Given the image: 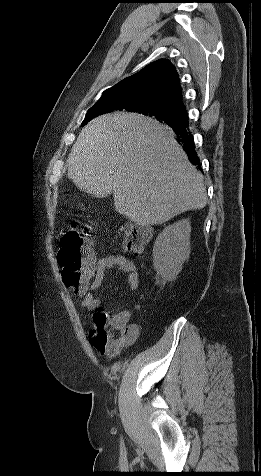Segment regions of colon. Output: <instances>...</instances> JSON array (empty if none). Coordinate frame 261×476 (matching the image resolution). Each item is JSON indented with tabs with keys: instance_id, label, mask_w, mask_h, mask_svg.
Returning a JSON list of instances; mask_svg holds the SVG:
<instances>
[{
	"instance_id": "5ec220e1",
	"label": "colon",
	"mask_w": 261,
	"mask_h": 476,
	"mask_svg": "<svg viewBox=\"0 0 261 476\" xmlns=\"http://www.w3.org/2000/svg\"><path fill=\"white\" fill-rule=\"evenodd\" d=\"M91 228L90 223L75 222L73 228L60 240L58 260L63 268V282L74 291L86 288L92 276L93 255L86 243ZM123 232L124 248L135 256L139 255L150 237L149 230L143 227H126ZM124 339L122 331L108 325L107 314L102 308L94 313L90 342L101 354H112L123 345Z\"/></svg>"
}]
</instances>
